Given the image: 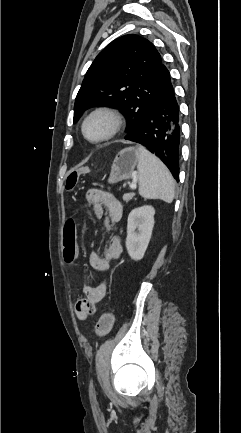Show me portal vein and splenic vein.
<instances>
[{"mask_svg":"<svg viewBox=\"0 0 241 433\" xmlns=\"http://www.w3.org/2000/svg\"><path fill=\"white\" fill-rule=\"evenodd\" d=\"M129 186H130V188H131L132 190H134V189L137 188L136 183H131Z\"/></svg>","mask_w":241,"mask_h":433,"instance_id":"obj_1","label":"portal vein and splenic vein"}]
</instances>
